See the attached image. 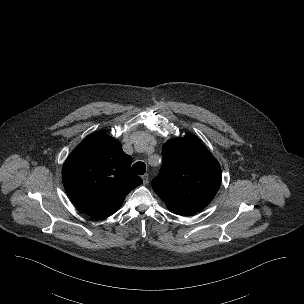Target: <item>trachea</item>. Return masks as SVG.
<instances>
[{
  "label": "trachea",
  "instance_id": "1",
  "mask_svg": "<svg viewBox=\"0 0 304 304\" xmlns=\"http://www.w3.org/2000/svg\"><path fill=\"white\" fill-rule=\"evenodd\" d=\"M146 171V165L144 162H136L132 166V172L138 175H143Z\"/></svg>",
  "mask_w": 304,
  "mask_h": 304
}]
</instances>
